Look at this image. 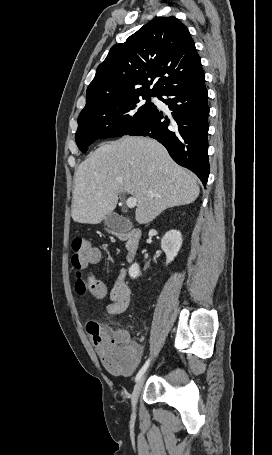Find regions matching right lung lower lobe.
<instances>
[{
    "instance_id": "1",
    "label": "right lung lower lobe",
    "mask_w": 272,
    "mask_h": 455,
    "mask_svg": "<svg viewBox=\"0 0 272 455\" xmlns=\"http://www.w3.org/2000/svg\"><path fill=\"white\" fill-rule=\"evenodd\" d=\"M161 95L167 96V99ZM207 96L204 72L183 80L159 95V99L172 111L170 119L156 109L128 133L158 140L166 147L172 159L193 171L204 186L210 168Z\"/></svg>"
}]
</instances>
